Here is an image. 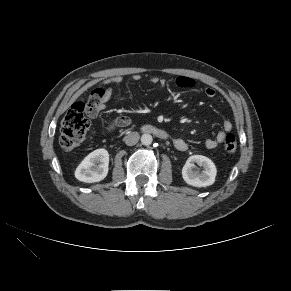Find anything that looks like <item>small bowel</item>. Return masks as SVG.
I'll return each mask as SVG.
<instances>
[{"label":"small bowel","mask_w":291,"mask_h":291,"mask_svg":"<svg viewBox=\"0 0 291 291\" xmlns=\"http://www.w3.org/2000/svg\"><path fill=\"white\" fill-rule=\"evenodd\" d=\"M141 79V76L139 74H134L132 75V80L133 81H139ZM123 81V77L120 75H116V76H112L109 77L107 79H104L103 81H101L97 87L95 89H93V93H95V95H97V100L95 103L89 104L88 107V113L89 116H91L92 118H95L99 112L104 111L107 108V103L110 100L111 96H112V88L111 86L114 84H120ZM151 83L153 84H160V85H164V81L161 80L158 77H151L150 78ZM176 84L183 89H190L193 88L195 85V81L190 78V77H186V76H180L176 79ZM204 94L209 97L212 98L215 96V90L211 87H206L203 90ZM127 118V117H126ZM129 120V119H128ZM129 122L125 125L120 124L118 119L115 122L116 126H126L128 125ZM232 129V124L230 121H225L223 123V131L219 132L215 138L213 139H207L205 141V146L208 149H215L219 144L224 142L225 136L228 132H230ZM173 144L174 147L178 150V151H186L188 148V144L184 139L181 138H175L173 140Z\"/></svg>","instance_id":"1"}]
</instances>
